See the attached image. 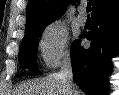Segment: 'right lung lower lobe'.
<instances>
[{"mask_svg": "<svg viewBox=\"0 0 119 95\" xmlns=\"http://www.w3.org/2000/svg\"><path fill=\"white\" fill-rule=\"evenodd\" d=\"M86 37L88 49L76 40L71 47L73 79L87 95H107L111 58L119 52V6L93 18V29Z\"/></svg>", "mask_w": 119, "mask_h": 95, "instance_id": "1", "label": "right lung lower lobe"}]
</instances>
